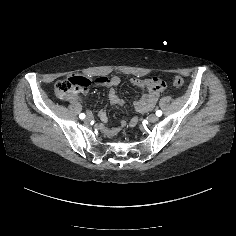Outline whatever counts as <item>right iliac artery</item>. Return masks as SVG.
Here are the masks:
<instances>
[{
    "instance_id": "right-iliac-artery-1",
    "label": "right iliac artery",
    "mask_w": 236,
    "mask_h": 236,
    "mask_svg": "<svg viewBox=\"0 0 236 236\" xmlns=\"http://www.w3.org/2000/svg\"><path fill=\"white\" fill-rule=\"evenodd\" d=\"M79 118H80V119H84V118H85V114H84V113H81V114L79 115Z\"/></svg>"
}]
</instances>
